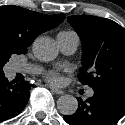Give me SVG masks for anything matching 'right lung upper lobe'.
I'll list each match as a JSON object with an SVG mask.
<instances>
[{"label": "right lung upper lobe", "mask_w": 125, "mask_h": 125, "mask_svg": "<svg viewBox=\"0 0 125 125\" xmlns=\"http://www.w3.org/2000/svg\"><path fill=\"white\" fill-rule=\"evenodd\" d=\"M65 14L44 15L18 6H0V57L25 54L43 32L57 27Z\"/></svg>", "instance_id": "1"}]
</instances>
